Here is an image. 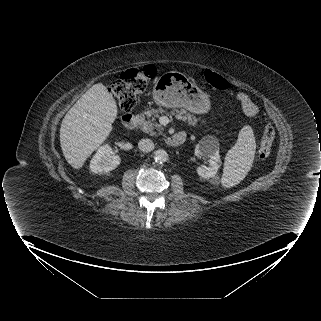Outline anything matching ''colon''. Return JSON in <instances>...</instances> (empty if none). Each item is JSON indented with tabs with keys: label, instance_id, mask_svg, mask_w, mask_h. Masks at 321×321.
Masks as SVG:
<instances>
[{
	"label": "colon",
	"instance_id": "5ec220e1",
	"mask_svg": "<svg viewBox=\"0 0 321 321\" xmlns=\"http://www.w3.org/2000/svg\"><path fill=\"white\" fill-rule=\"evenodd\" d=\"M201 73L206 83L211 87L220 91H227L230 88L229 82L214 71L203 69ZM156 74L157 68L153 64L123 71L110 87V92L116 99L118 108L123 112L132 111L136 104L137 97L146 91L148 83ZM274 137V128L272 125L266 124L259 148V158L261 160L269 157Z\"/></svg>",
	"mask_w": 321,
	"mask_h": 321
}]
</instances>
